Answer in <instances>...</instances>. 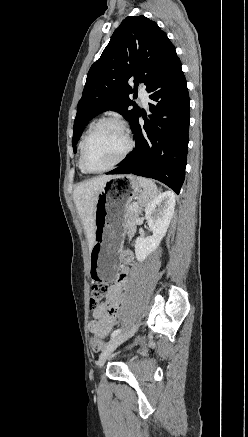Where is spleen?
<instances>
[{"label":"spleen","mask_w":248,"mask_h":437,"mask_svg":"<svg viewBox=\"0 0 248 437\" xmlns=\"http://www.w3.org/2000/svg\"><path fill=\"white\" fill-rule=\"evenodd\" d=\"M137 180L142 188L140 203L143 206H147V204L156 197L157 186L152 180L147 178L137 177Z\"/></svg>","instance_id":"obj_1"}]
</instances>
